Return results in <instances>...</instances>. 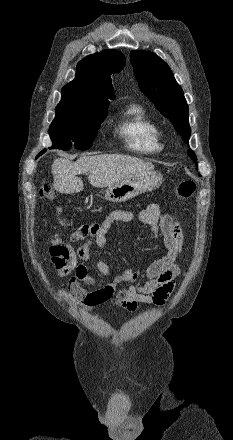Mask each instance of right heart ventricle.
I'll list each match as a JSON object with an SVG mask.
<instances>
[{
    "mask_svg": "<svg viewBox=\"0 0 233 440\" xmlns=\"http://www.w3.org/2000/svg\"><path fill=\"white\" fill-rule=\"evenodd\" d=\"M115 130L127 150L133 154L153 155L163 149L160 127L138 104L125 109Z\"/></svg>",
    "mask_w": 233,
    "mask_h": 440,
    "instance_id": "e07e8e85",
    "label": "right heart ventricle"
}]
</instances>
